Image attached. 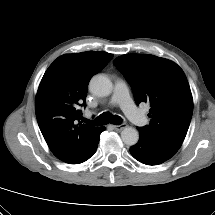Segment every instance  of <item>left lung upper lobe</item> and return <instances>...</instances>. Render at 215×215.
<instances>
[{
	"label": "left lung upper lobe",
	"instance_id": "1",
	"mask_svg": "<svg viewBox=\"0 0 215 215\" xmlns=\"http://www.w3.org/2000/svg\"><path fill=\"white\" fill-rule=\"evenodd\" d=\"M114 65L130 84L137 105L149 103V125L142 127L179 149L193 113L187 78L173 61L148 54L118 57Z\"/></svg>",
	"mask_w": 215,
	"mask_h": 215
}]
</instances>
